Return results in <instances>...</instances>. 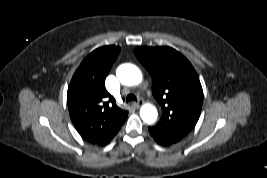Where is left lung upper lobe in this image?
Listing matches in <instances>:
<instances>
[{"label":"left lung upper lobe","instance_id":"1","mask_svg":"<svg viewBox=\"0 0 267 178\" xmlns=\"http://www.w3.org/2000/svg\"><path fill=\"white\" fill-rule=\"evenodd\" d=\"M134 54L152 77V93L162 108L153 126L179 142L195 127L201 113L203 90L191 63L173 48L139 47Z\"/></svg>","mask_w":267,"mask_h":178}]
</instances>
